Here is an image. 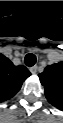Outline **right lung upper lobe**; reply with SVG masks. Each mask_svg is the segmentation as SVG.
Instances as JSON below:
<instances>
[{
	"label": "right lung upper lobe",
	"instance_id": "cb5924a9",
	"mask_svg": "<svg viewBox=\"0 0 63 123\" xmlns=\"http://www.w3.org/2000/svg\"><path fill=\"white\" fill-rule=\"evenodd\" d=\"M0 70V100L6 101L20 90L31 73L25 66H15L5 56H2Z\"/></svg>",
	"mask_w": 63,
	"mask_h": 123
}]
</instances>
